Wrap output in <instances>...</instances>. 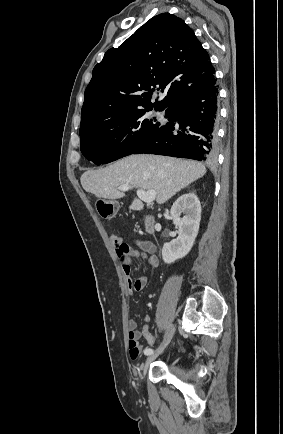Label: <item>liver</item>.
Masks as SVG:
<instances>
[{
  "label": "liver",
  "mask_w": 283,
  "mask_h": 434,
  "mask_svg": "<svg viewBox=\"0 0 283 434\" xmlns=\"http://www.w3.org/2000/svg\"><path fill=\"white\" fill-rule=\"evenodd\" d=\"M205 173L206 167L196 161L138 154L127 156L105 168L87 170L80 181L86 192L98 198L120 199L125 193L119 191V186L129 185L155 191L157 203L163 204ZM129 208L139 211L144 204L134 198Z\"/></svg>",
  "instance_id": "obj_1"
}]
</instances>
